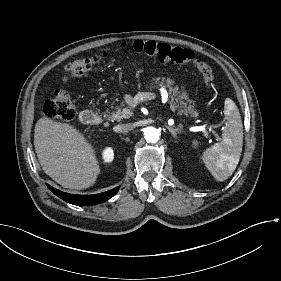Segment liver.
<instances>
[{"instance_id": "6515ba94", "label": "liver", "mask_w": 281, "mask_h": 281, "mask_svg": "<svg viewBox=\"0 0 281 281\" xmlns=\"http://www.w3.org/2000/svg\"><path fill=\"white\" fill-rule=\"evenodd\" d=\"M34 146L42 169L58 184L82 190L95 183L100 173L95 152L73 126L47 117L39 119Z\"/></svg>"}]
</instances>
